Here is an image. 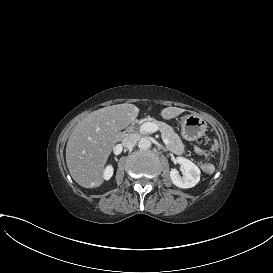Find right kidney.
<instances>
[{
  "label": "right kidney",
  "mask_w": 273,
  "mask_h": 273,
  "mask_svg": "<svg viewBox=\"0 0 273 273\" xmlns=\"http://www.w3.org/2000/svg\"><path fill=\"white\" fill-rule=\"evenodd\" d=\"M112 175H113V167L111 165H108L103 172V178L105 180H109L112 177Z\"/></svg>",
  "instance_id": "ca27d5eb"
}]
</instances>
